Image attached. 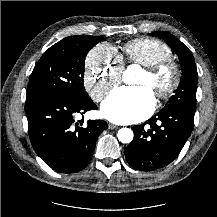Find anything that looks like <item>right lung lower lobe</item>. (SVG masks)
Returning a JSON list of instances; mask_svg holds the SVG:
<instances>
[{
	"instance_id": "obj_1",
	"label": "right lung lower lobe",
	"mask_w": 217,
	"mask_h": 217,
	"mask_svg": "<svg viewBox=\"0 0 217 217\" xmlns=\"http://www.w3.org/2000/svg\"><path fill=\"white\" fill-rule=\"evenodd\" d=\"M97 109L89 97L76 101L71 98L36 97L26 99L25 112L29 136L37 155L53 170L74 173L84 169L91 160L96 141L107 128L103 120L75 121L79 114Z\"/></svg>"
}]
</instances>
